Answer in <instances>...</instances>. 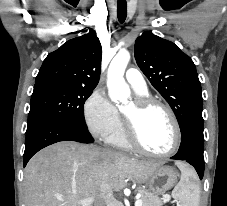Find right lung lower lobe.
<instances>
[{"label": "right lung lower lobe", "instance_id": "obj_1", "mask_svg": "<svg viewBox=\"0 0 227 206\" xmlns=\"http://www.w3.org/2000/svg\"><path fill=\"white\" fill-rule=\"evenodd\" d=\"M67 140L81 143L94 142L84 126H79L68 121L44 119L28 126L23 156L24 167L29 159L42 148L59 141Z\"/></svg>", "mask_w": 227, "mask_h": 206}]
</instances>
